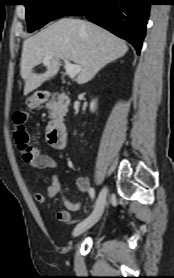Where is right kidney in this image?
<instances>
[{"label": "right kidney", "instance_id": "obj_1", "mask_svg": "<svg viewBox=\"0 0 174 278\" xmlns=\"http://www.w3.org/2000/svg\"><path fill=\"white\" fill-rule=\"evenodd\" d=\"M95 108H96V100H92V102L90 103L91 112H94Z\"/></svg>", "mask_w": 174, "mask_h": 278}]
</instances>
